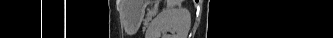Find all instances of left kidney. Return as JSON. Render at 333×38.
Listing matches in <instances>:
<instances>
[{"mask_svg":"<svg viewBox=\"0 0 333 38\" xmlns=\"http://www.w3.org/2000/svg\"><path fill=\"white\" fill-rule=\"evenodd\" d=\"M190 27L191 15L186 8H166L151 22L147 38H187Z\"/></svg>","mask_w":333,"mask_h":38,"instance_id":"1","label":"left kidney"}]
</instances>
